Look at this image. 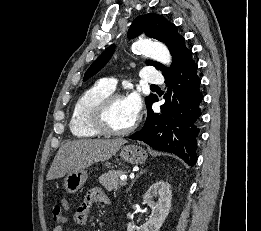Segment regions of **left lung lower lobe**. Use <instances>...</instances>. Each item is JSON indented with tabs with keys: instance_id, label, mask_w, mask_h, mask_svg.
<instances>
[{
	"instance_id": "0a47b994",
	"label": "left lung lower lobe",
	"mask_w": 261,
	"mask_h": 231,
	"mask_svg": "<svg viewBox=\"0 0 261 231\" xmlns=\"http://www.w3.org/2000/svg\"><path fill=\"white\" fill-rule=\"evenodd\" d=\"M198 66L188 55L175 69L164 75L168 92L161 113L152 110L153 102L147 106L148 115L144 127L129 138L140 140L155 150L173 153L193 166L197 161L198 121L201 116V80Z\"/></svg>"
}]
</instances>
